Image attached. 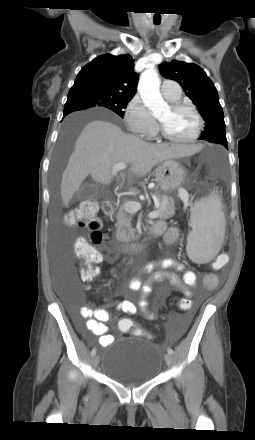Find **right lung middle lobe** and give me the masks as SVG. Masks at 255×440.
I'll return each mask as SVG.
<instances>
[{
    "label": "right lung middle lobe",
    "instance_id": "right-lung-middle-lobe-1",
    "mask_svg": "<svg viewBox=\"0 0 255 440\" xmlns=\"http://www.w3.org/2000/svg\"><path fill=\"white\" fill-rule=\"evenodd\" d=\"M132 97H124L98 91L69 93L68 100L64 107V113L91 107L108 108L123 118L124 111Z\"/></svg>",
    "mask_w": 255,
    "mask_h": 440
}]
</instances>
